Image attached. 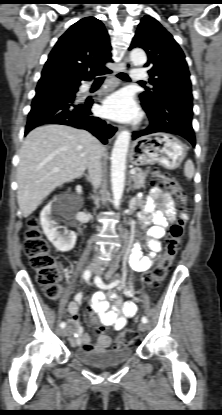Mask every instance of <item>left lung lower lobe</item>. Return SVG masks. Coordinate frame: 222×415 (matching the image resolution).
<instances>
[{
	"mask_svg": "<svg viewBox=\"0 0 222 415\" xmlns=\"http://www.w3.org/2000/svg\"><path fill=\"white\" fill-rule=\"evenodd\" d=\"M175 98L180 101L179 108L172 113L167 111L161 113V109H167L172 99ZM192 98L190 82L177 81L162 86L158 92L156 104H142L143 110L150 120V125L146 129L134 132L133 139L156 132H166L179 135L195 146L192 128Z\"/></svg>",
	"mask_w": 222,
	"mask_h": 415,
	"instance_id": "obj_1",
	"label": "left lung lower lobe"
}]
</instances>
